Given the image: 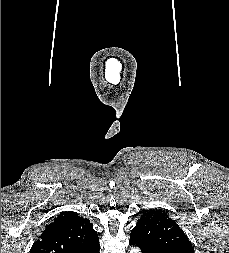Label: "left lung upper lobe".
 Segmentation results:
<instances>
[{"label":"left lung upper lobe","mask_w":229,"mask_h":253,"mask_svg":"<svg viewBox=\"0 0 229 253\" xmlns=\"http://www.w3.org/2000/svg\"><path fill=\"white\" fill-rule=\"evenodd\" d=\"M130 242L145 253H194L183 230L160 210L142 214L131 231Z\"/></svg>","instance_id":"5c2ea615"}]
</instances>
